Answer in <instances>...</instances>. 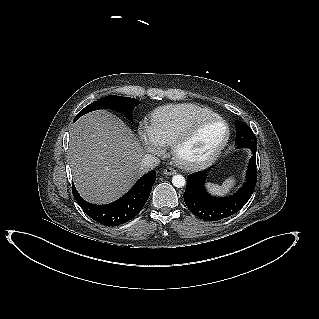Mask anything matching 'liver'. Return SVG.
<instances>
[{
	"instance_id": "1",
	"label": "liver",
	"mask_w": 319,
	"mask_h": 319,
	"mask_svg": "<svg viewBox=\"0 0 319 319\" xmlns=\"http://www.w3.org/2000/svg\"><path fill=\"white\" fill-rule=\"evenodd\" d=\"M68 159L74 185L87 201L110 203L141 174L143 149L124 122L107 110L90 112L70 129Z\"/></svg>"
}]
</instances>
